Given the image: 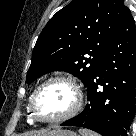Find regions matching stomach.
<instances>
[{"mask_svg": "<svg viewBox=\"0 0 136 136\" xmlns=\"http://www.w3.org/2000/svg\"><path fill=\"white\" fill-rule=\"evenodd\" d=\"M48 136H78V135L75 132L70 130L55 129V130H52Z\"/></svg>", "mask_w": 136, "mask_h": 136, "instance_id": "0dacf381", "label": "stomach"}]
</instances>
